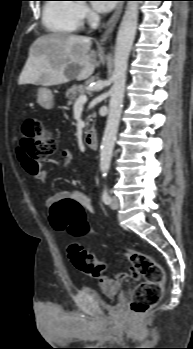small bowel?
Instances as JSON below:
<instances>
[{"label": "small bowel", "instance_id": "obj_1", "mask_svg": "<svg viewBox=\"0 0 193 349\" xmlns=\"http://www.w3.org/2000/svg\"><path fill=\"white\" fill-rule=\"evenodd\" d=\"M19 160L26 170L27 173H29L34 178L44 181L45 180V172L38 166L35 170H30L27 167V159L23 156L20 149L18 152ZM62 161L57 160H49L50 163L58 164L64 167H69L73 162V154L68 148H64L61 151ZM65 200H72L77 203H79L86 211L89 213H93V205H92V199L90 195L84 191L75 190V189H66L61 190L60 192L56 193L55 195L49 197L46 200L47 205H53L56 202L65 201ZM138 278L137 271L130 267L127 271H123L120 273H117L114 277L109 276H102L99 278L98 284L101 287L102 290H104L107 293H114L116 292L121 284L128 279H136Z\"/></svg>", "mask_w": 193, "mask_h": 349}]
</instances>
